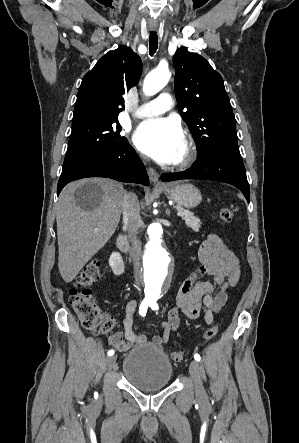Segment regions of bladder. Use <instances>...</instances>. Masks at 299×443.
I'll use <instances>...</instances> for the list:
<instances>
[{
	"instance_id": "31cf9c89",
	"label": "bladder",
	"mask_w": 299,
	"mask_h": 443,
	"mask_svg": "<svg viewBox=\"0 0 299 443\" xmlns=\"http://www.w3.org/2000/svg\"><path fill=\"white\" fill-rule=\"evenodd\" d=\"M122 374L137 389L155 391L170 384L173 366L162 348L141 345L125 356Z\"/></svg>"
}]
</instances>
